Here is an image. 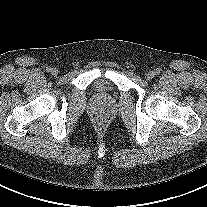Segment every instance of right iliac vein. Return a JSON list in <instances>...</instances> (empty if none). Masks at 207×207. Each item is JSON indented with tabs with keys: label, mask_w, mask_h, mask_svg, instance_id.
Masks as SVG:
<instances>
[{
	"label": "right iliac vein",
	"mask_w": 207,
	"mask_h": 207,
	"mask_svg": "<svg viewBox=\"0 0 207 207\" xmlns=\"http://www.w3.org/2000/svg\"><path fill=\"white\" fill-rule=\"evenodd\" d=\"M51 73H52L53 76H57L58 75V70L56 68H53L51 70Z\"/></svg>",
	"instance_id": "obj_1"
}]
</instances>
